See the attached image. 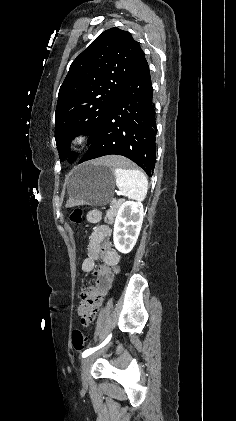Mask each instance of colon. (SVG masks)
<instances>
[{
    "instance_id": "5ec220e1",
    "label": "colon",
    "mask_w": 236,
    "mask_h": 421,
    "mask_svg": "<svg viewBox=\"0 0 236 421\" xmlns=\"http://www.w3.org/2000/svg\"><path fill=\"white\" fill-rule=\"evenodd\" d=\"M83 217V209L81 207H75L70 211L69 218L74 223L81 222ZM71 343L75 350H82L86 344L85 335L78 329H75L71 333Z\"/></svg>"
}]
</instances>
